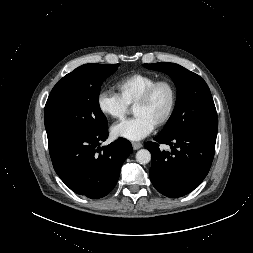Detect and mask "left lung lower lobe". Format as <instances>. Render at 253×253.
<instances>
[{
  "label": "left lung lower lobe",
  "mask_w": 253,
  "mask_h": 253,
  "mask_svg": "<svg viewBox=\"0 0 253 253\" xmlns=\"http://www.w3.org/2000/svg\"><path fill=\"white\" fill-rule=\"evenodd\" d=\"M144 146L151 152L149 176L153 186L170 198L184 196L204 180L215 152L216 135L187 132L166 138L158 135ZM171 146V152L160 151L159 144Z\"/></svg>",
  "instance_id": "1"
}]
</instances>
